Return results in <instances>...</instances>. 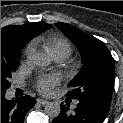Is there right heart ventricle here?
I'll return each mask as SVG.
<instances>
[{
    "label": "right heart ventricle",
    "instance_id": "right-heart-ventricle-1",
    "mask_svg": "<svg viewBox=\"0 0 123 123\" xmlns=\"http://www.w3.org/2000/svg\"><path fill=\"white\" fill-rule=\"evenodd\" d=\"M45 45L54 58L58 56H64L66 58L72 52L70 42L62 36L53 35L46 38Z\"/></svg>",
    "mask_w": 123,
    "mask_h": 123
}]
</instances>
